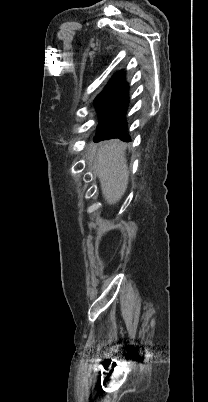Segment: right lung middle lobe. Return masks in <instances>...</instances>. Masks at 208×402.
I'll use <instances>...</instances> for the list:
<instances>
[{"label":"right lung middle lobe","instance_id":"dd1d6c3e","mask_svg":"<svg viewBox=\"0 0 208 402\" xmlns=\"http://www.w3.org/2000/svg\"><path fill=\"white\" fill-rule=\"evenodd\" d=\"M95 105L100 114L101 122L109 120L114 125L123 109V100L118 90L106 89L97 96Z\"/></svg>","mask_w":208,"mask_h":402}]
</instances>
